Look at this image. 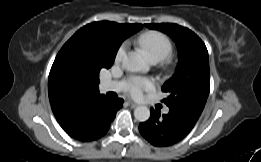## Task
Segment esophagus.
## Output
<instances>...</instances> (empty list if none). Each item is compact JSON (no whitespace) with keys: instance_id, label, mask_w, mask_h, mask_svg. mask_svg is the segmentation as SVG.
<instances>
[{"instance_id":"obj_1","label":"esophagus","mask_w":261,"mask_h":162,"mask_svg":"<svg viewBox=\"0 0 261 162\" xmlns=\"http://www.w3.org/2000/svg\"><path fill=\"white\" fill-rule=\"evenodd\" d=\"M127 103H128V104H129V106H130V107H132V108H135V107H137V106H138V104H136V103L132 102L131 100H128V101H127Z\"/></svg>"}]
</instances>
